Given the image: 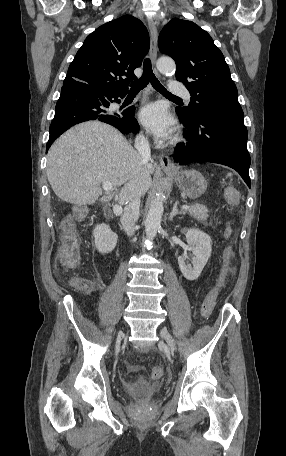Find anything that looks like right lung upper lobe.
<instances>
[{"label": "right lung upper lobe", "instance_id": "1", "mask_svg": "<svg viewBox=\"0 0 286 456\" xmlns=\"http://www.w3.org/2000/svg\"><path fill=\"white\" fill-rule=\"evenodd\" d=\"M149 34L143 23L124 15L98 27L85 39L69 66L65 82L83 83L101 93L127 94L134 69L149 50Z\"/></svg>", "mask_w": 286, "mask_h": 456}]
</instances>
